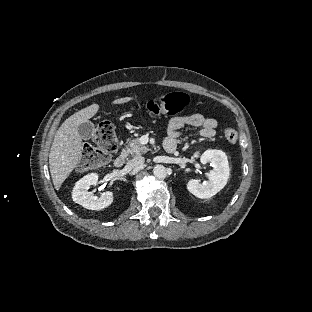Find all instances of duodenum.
Returning <instances> with one entry per match:
<instances>
[{"label": "duodenum", "mask_w": 312, "mask_h": 312, "mask_svg": "<svg viewBox=\"0 0 312 312\" xmlns=\"http://www.w3.org/2000/svg\"><path fill=\"white\" fill-rule=\"evenodd\" d=\"M164 149L168 152V153H174L177 149L176 145L174 143H164ZM127 159V153L126 152H122L120 153L114 160V165L117 168H122L125 165Z\"/></svg>", "instance_id": "1"}]
</instances>
